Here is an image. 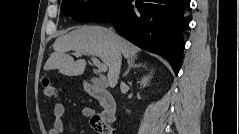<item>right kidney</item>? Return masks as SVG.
I'll return each instance as SVG.
<instances>
[{
	"instance_id": "right-kidney-1",
	"label": "right kidney",
	"mask_w": 239,
	"mask_h": 134,
	"mask_svg": "<svg viewBox=\"0 0 239 134\" xmlns=\"http://www.w3.org/2000/svg\"><path fill=\"white\" fill-rule=\"evenodd\" d=\"M151 78V76H145L142 78V80L140 81V86L142 88H145L146 86H148L149 83V79Z\"/></svg>"
}]
</instances>
